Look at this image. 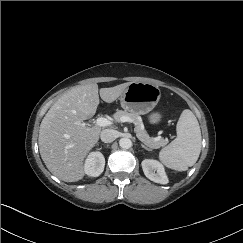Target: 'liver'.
<instances>
[{
  "instance_id": "obj_1",
  "label": "liver",
  "mask_w": 243,
  "mask_h": 243,
  "mask_svg": "<svg viewBox=\"0 0 243 243\" xmlns=\"http://www.w3.org/2000/svg\"><path fill=\"white\" fill-rule=\"evenodd\" d=\"M129 83L101 88L96 83L76 86L64 93L49 109L40 124L39 150L48 170L65 182H76L84 175V160L99 140L100 126H78L94 116L99 95L112 103Z\"/></svg>"
}]
</instances>
